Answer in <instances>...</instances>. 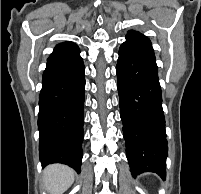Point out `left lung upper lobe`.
Wrapping results in <instances>:
<instances>
[{
	"label": "left lung upper lobe",
	"instance_id": "1",
	"mask_svg": "<svg viewBox=\"0 0 201 194\" xmlns=\"http://www.w3.org/2000/svg\"><path fill=\"white\" fill-rule=\"evenodd\" d=\"M126 40L133 41L153 49L150 39L137 31L130 30L126 35Z\"/></svg>",
	"mask_w": 201,
	"mask_h": 194
}]
</instances>
